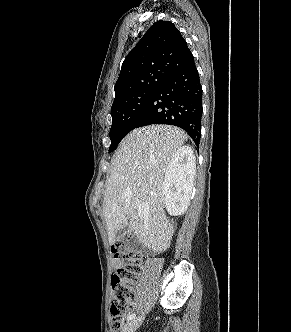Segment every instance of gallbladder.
<instances>
[{"label": "gallbladder", "instance_id": "obj_1", "mask_svg": "<svg viewBox=\"0 0 291 332\" xmlns=\"http://www.w3.org/2000/svg\"><path fill=\"white\" fill-rule=\"evenodd\" d=\"M129 233H131V228L129 226L119 227L118 230L115 232V238L120 239L125 234H129Z\"/></svg>", "mask_w": 291, "mask_h": 332}]
</instances>
